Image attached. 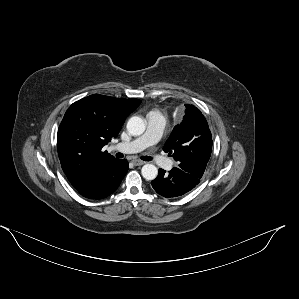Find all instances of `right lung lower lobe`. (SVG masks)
Listing matches in <instances>:
<instances>
[{
	"label": "right lung lower lobe",
	"mask_w": 299,
	"mask_h": 299,
	"mask_svg": "<svg viewBox=\"0 0 299 299\" xmlns=\"http://www.w3.org/2000/svg\"><path fill=\"white\" fill-rule=\"evenodd\" d=\"M127 171V160L116 159L102 169L88 188L78 191L89 199L105 198L118 188Z\"/></svg>",
	"instance_id": "98d812e1"
}]
</instances>
